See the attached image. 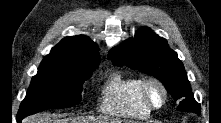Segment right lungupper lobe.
I'll list each match as a JSON object with an SVG mask.
<instances>
[{"mask_svg": "<svg viewBox=\"0 0 221 123\" xmlns=\"http://www.w3.org/2000/svg\"><path fill=\"white\" fill-rule=\"evenodd\" d=\"M99 49L91 39L84 35L68 36L62 39L41 63H70L89 67L99 63Z\"/></svg>", "mask_w": 221, "mask_h": 123, "instance_id": "1", "label": "right lung upper lobe"}]
</instances>
